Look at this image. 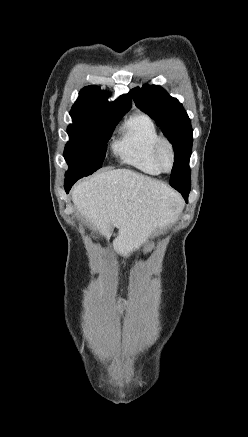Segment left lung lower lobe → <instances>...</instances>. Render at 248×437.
I'll return each instance as SVG.
<instances>
[{"instance_id": "left-lung-lower-lobe-1", "label": "left lung lower lobe", "mask_w": 248, "mask_h": 437, "mask_svg": "<svg viewBox=\"0 0 248 437\" xmlns=\"http://www.w3.org/2000/svg\"><path fill=\"white\" fill-rule=\"evenodd\" d=\"M184 199L187 201L189 193H181Z\"/></svg>"}]
</instances>
